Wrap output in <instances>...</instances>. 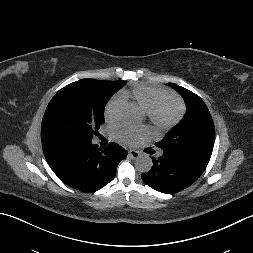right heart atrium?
<instances>
[{"label":"right heart atrium","mask_w":253,"mask_h":253,"mask_svg":"<svg viewBox=\"0 0 253 253\" xmlns=\"http://www.w3.org/2000/svg\"><path fill=\"white\" fill-rule=\"evenodd\" d=\"M124 104L125 99L121 94L113 96L105 106L104 115L106 121L109 123H117L121 118Z\"/></svg>","instance_id":"d8ad5b80"}]
</instances>
